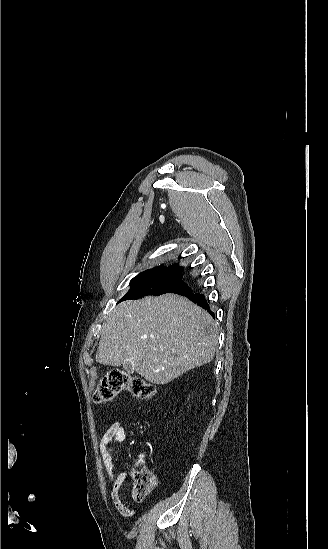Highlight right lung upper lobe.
I'll list each match as a JSON object with an SVG mask.
<instances>
[{"label": "right lung upper lobe", "mask_w": 328, "mask_h": 549, "mask_svg": "<svg viewBox=\"0 0 328 549\" xmlns=\"http://www.w3.org/2000/svg\"><path fill=\"white\" fill-rule=\"evenodd\" d=\"M182 269H183V267L178 266V264H173L172 266H170L168 268L159 266V267H156L152 270H146V271L158 270V271H169V272H181L182 273Z\"/></svg>", "instance_id": "right-lung-upper-lobe-1"}]
</instances>
